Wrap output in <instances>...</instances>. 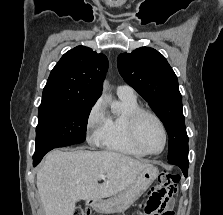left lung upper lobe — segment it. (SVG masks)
I'll return each instance as SVG.
<instances>
[{
	"mask_svg": "<svg viewBox=\"0 0 223 215\" xmlns=\"http://www.w3.org/2000/svg\"><path fill=\"white\" fill-rule=\"evenodd\" d=\"M121 76L150 105L169 136L168 160L188 162V136L177 77L165 57L140 47L118 56Z\"/></svg>",
	"mask_w": 223,
	"mask_h": 215,
	"instance_id": "5c2ea615",
	"label": "left lung upper lobe"
}]
</instances>
